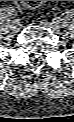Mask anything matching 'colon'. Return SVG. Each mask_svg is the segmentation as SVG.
Instances as JSON below:
<instances>
[{
	"instance_id": "colon-1",
	"label": "colon",
	"mask_w": 74,
	"mask_h": 122,
	"mask_svg": "<svg viewBox=\"0 0 74 122\" xmlns=\"http://www.w3.org/2000/svg\"><path fill=\"white\" fill-rule=\"evenodd\" d=\"M21 2L28 7H37L44 1H21Z\"/></svg>"
}]
</instances>
